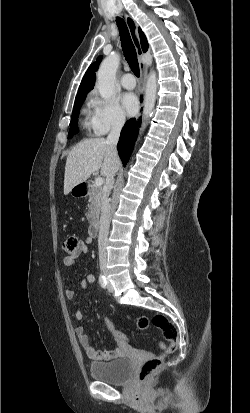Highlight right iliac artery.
I'll use <instances>...</instances> for the list:
<instances>
[{"instance_id":"obj_1","label":"right iliac artery","mask_w":250,"mask_h":413,"mask_svg":"<svg viewBox=\"0 0 250 413\" xmlns=\"http://www.w3.org/2000/svg\"><path fill=\"white\" fill-rule=\"evenodd\" d=\"M99 284L103 289H106L107 281H106V278L103 274H100V276H99Z\"/></svg>"}]
</instances>
